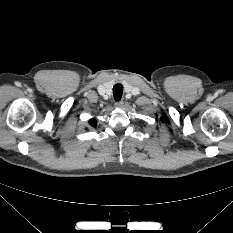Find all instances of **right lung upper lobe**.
Segmentation results:
<instances>
[{"label": "right lung upper lobe", "mask_w": 233, "mask_h": 233, "mask_svg": "<svg viewBox=\"0 0 233 233\" xmlns=\"http://www.w3.org/2000/svg\"><path fill=\"white\" fill-rule=\"evenodd\" d=\"M89 123H90V125L93 126V127L96 126V120H95V119H91V120L89 121Z\"/></svg>", "instance_id": "obj_1"}]
</instances>
